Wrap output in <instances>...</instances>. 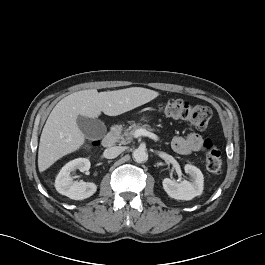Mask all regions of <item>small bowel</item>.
Wrapping results in <instances>:
<instances>
[{
  "label": "small bowel",
  "mask_w": 265,
  "mask_h": 265,
  "mask_svg": "<svg viewBox=\"0 0 265 265\" xmlns=\"http://www.w3.org/2000/svg\"><path fill=\"white\" fill-rule=\"evenodd\" d=\"M172 148L178 154L186 155L203 151L205 149V142L200 135L192 133L186 137H174L172 140Z\"/></svg>",
  "instance_id": "obj_1"
}]
</instances>
